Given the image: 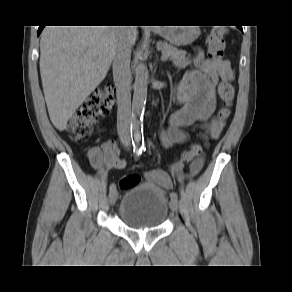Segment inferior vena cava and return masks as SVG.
Wrapping results in <instances>:
<instances>
[{"label":"inferior vena cava","mask_w":292,"mask_h":292,"mask_svg":"<svg viewBox=\"0 0 292 292\" xmlns=\"http://www.w3.org/2000/svg\"><path fill=\"white\" fill-rule=\"evenodd\" d=\"M129 26H118L121 33H126ZM131 45L125 38H121L117 46L113 59V79L116 86V96L118 103L117 111V131L121 143L124 147L130 146V126L131 117Z\"/></svg>","instance_id":"602c4592"}]
</instances>
